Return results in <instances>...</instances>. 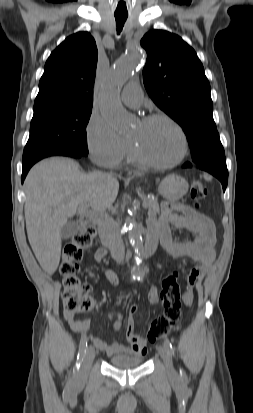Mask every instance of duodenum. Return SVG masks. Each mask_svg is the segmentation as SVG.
Listing matches in <instances>:
<instances>
[{"label": "duodenum", "instance_id": "1", "mask_svg": "<svg viewBox=\"0 0 253 413\" xmlns=\"http://www.w3.org/2000/svg\"><path fill=\"white\" fill-rule=\"evenodd\" d=\"M158 240H159L158 236L155 233L150 232V231L148 232L147 239H146L144 249H143L144 256H150L156 251L157 246H158ZM99 251L101 252L103 256L106 255L105 248H99Z\"/></svg>", "mask_w": 253, "mask_h": 413}]
</instances>
